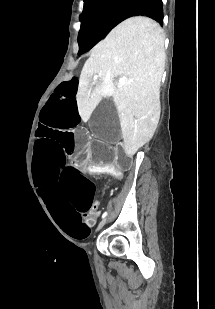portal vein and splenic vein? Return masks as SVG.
<instances>
[{
  "label": "portal vein and splenic vein",
  "mask_w": 215,
  "mask_h": 309,
  "mask_svg": "<svg viewBox=\"0 0 215 309\" xmlns=\"http://www.w3.org/2000/svg\"><path fill=\"white\" fill-rule=\"evenodd\" d=\"M126 82V76H123V78H119V82L117 84V86H123V84H125Z\"/></svg>",
  "instance_id": "1"
}]
</instances>
